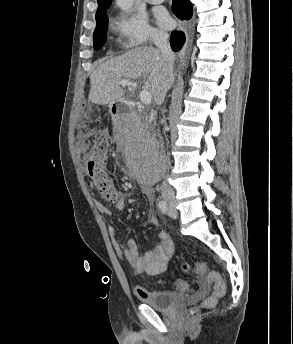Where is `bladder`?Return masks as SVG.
<instances>
[{
  "label": "bladder",
  "mask_w": 293,
  "mask_h": 344,
  "mask_svg": "<svg viewBox=\"0 0 293 344\" xmlns=\"http://www.w3.org/2000/svg\"><path fill=\"white\" fill-rule=\"evenodd\" d=\"M186 299L182 293L170 290H145L142 300L157 310H168Z\"/></svg>",
  "instance_id": "31cf9c89"
}]
</instances>
